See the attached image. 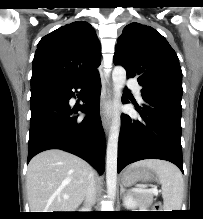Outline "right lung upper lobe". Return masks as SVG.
Returning <instances> with one entry per match:
<instances>
[{
  "label": "right lung upper lobe",
  "instance_id": "right-lung-upper-lobe-1",
  "mask_svg": "<svg viewBox=\"0 0 203 219\" xmlns=\"http://www.w3.org/2000/svg\"><path fill=\"white\" fill-rule=\"evenodd\" d=\"M100 63V44L92 26L76 21L40 40L31 82L87 78L98 73Z\"/></svg>",
  "mask_w": 203,
  "mask_h": 219
}]
</instances>
